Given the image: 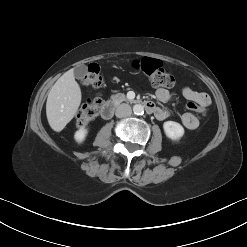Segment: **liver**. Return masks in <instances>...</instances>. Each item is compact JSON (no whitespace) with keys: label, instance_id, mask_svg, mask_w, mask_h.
Segmentation results:
<instances>
[{"label":"liver","instance_id":"6515ba94","mask_svg":"<svg viewBox=\"0 0 247 247\" xmlns=\"http://www.w3.org/2000/svg\"><path fill=\"white\" fill-rule=\"evenodd\" d=\"M81 89L73 70L65 72L52 86L46 102V115L50 127L62 131L75 116L81 103Z\"/></svg>","mask_w":247,"mask_h":247}]
</instances>
